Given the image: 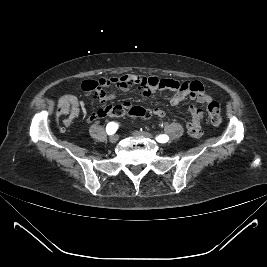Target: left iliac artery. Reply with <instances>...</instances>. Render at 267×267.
Instances as JSON below:
<instances>
[{"mask_svg": "<svg viewBox=\"0 0 267 267\" xmlns=\"http://www.w3.org/2000/svg\"><path fill=\"white\" fill-rule=\"evenodd\" d=\"M156 140L160 143H166L169 140V138L167 135H159L156 137Z\"/></svg>", "mask_w": 267, "mask_h": 267, "instance_id": "44dca946", "label": "left iliac artery"}]
</instances>
